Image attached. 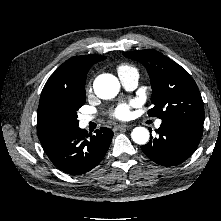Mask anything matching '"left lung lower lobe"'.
I'll return each mask as SVG.
<instances>
[{"mask_svg":"<svg viewBox=\"0 0 221 221\" xmlns=\"http://www.w3.org/2000/svg\"><path fill=\"white\" fill-rule=\"evenodd\" d=\"M203 122L191 119H170L162 121L152 138L141 146L145 155L155 163L174 166L184 162L196 150L203 132Z\"/></svg>","mask_w":221,"mask_h":221,"instance_id":"obj_1","label":"left lung lower lobe"}]
</instances>
